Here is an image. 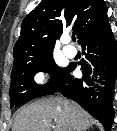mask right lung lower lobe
<instances>
[{"label":"right lung lower lobe","instance_id":"1","mask_svg":"<svg viewBox=\"0 0 117 131\" xmlns=\"http://www.w3.org/2000/svg\"><path fill=\"white\" fill-rule=\"evenodd\" d=\"M80 45L86 60L70 63L62 87L57 92L76 101L110 131L114 118L112 88L117 67V47L110 26ZM78 65H81L83 73L80 79L70 75ZM97 76L100 78L97 79Z\"/></svg>","mask_w":117,"mask_h":131}]
</instances>
